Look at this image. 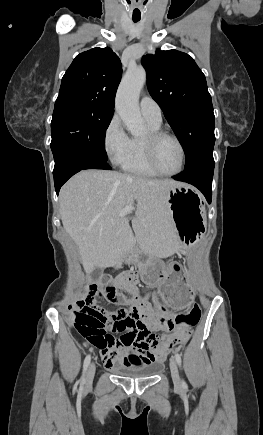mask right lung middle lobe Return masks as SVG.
Returning a JSON list of instances; mask_svg holds the SVG:
<instances>
[{
  "label": "right lung middle lobe",
  "instance_id": "1",
  "mask_svg": "<svg viewBox=\"0 0 263 435\" xmlns=\"http://www.w3.org/2000/svg\"><path fill=\"white\" fill-rule=\"evenodd\" d=\"M114 111L91 104L56 106L51 122L55 164L71 154L107 161L105 135Z\"/></svg>",
  "mask_w": 263,
  "mask_h": 435
}]
</instances>
